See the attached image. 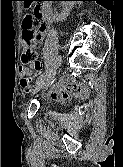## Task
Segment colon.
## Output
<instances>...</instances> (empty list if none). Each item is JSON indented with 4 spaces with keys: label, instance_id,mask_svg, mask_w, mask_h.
Wrapping results in <instances>:
<instances>
[{
    "label": "colon",
    "instance_id": "5ec220e1",
    "mask_svg": "<svg viewBox=\"0 0 123 167\" xmlns=\"http://www.w3.org/2000/svg\"><path fill=\"white\" fill-rule=\"evenodd\" d=\"M46 30V24L43 21V13L39 7H35L29 12L23 21L22 41L23 53L22 61L26 64L38 66L37 43L42 39Z\"/></svg>",
    "mask_w": 123,
    "mask_h": 167
}]
</instances>
